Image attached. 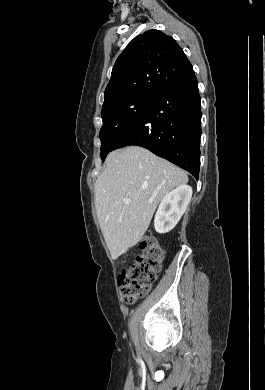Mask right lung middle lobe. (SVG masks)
Here are the masks:
<instances>
[{
    "instance_id": "1",
    "label": "right lung middle lobe",
    "mask_w": 265,
    "mask_h": 390,
    "mask_svg": "<svg viewBox=\"0 0 265 390\" xmlns=\"http://www.w3.org/2000/svg\"><path fill=\"white\" fill-rule=\"evenodd\" d=\"M156 95L136 94L102 108L101 159L115 149L121 137L148 108Z\"/></svg>"
}]
</instances>
